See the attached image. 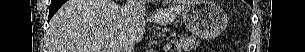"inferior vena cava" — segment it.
<instances>
[{
	"mask_svg": "<svg viewBox=\"0 0 305 52\" xmlns=\"http://www.w3.org/2000/svg\"><path fill=\"white\" fill-rule=\"evenodd\" d=\"M146 9V0H127L123 13L127 21H134ZM135 42L130 38H123L118 46L117 52H134Z\"/></svg>",
	"mask_w": 305,
	"mask_h": 52,
	"instance_id": "602c4592",
	"label": "inferior vena cava"
}]
</instances>
